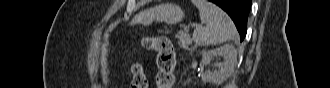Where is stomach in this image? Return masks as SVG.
Masks as SVG:
<instances>
[{"label":"stomach","instance_id":"1","mask_svg":"<svg viewBox=\"0 0 330 88\" xmlns=\"http://www.w3.org/2000/svg\"><path fill=\"white\" fill-rule=\"evenodd\" d=\"M183 17L184 13L178 5L165 3L150 9L149 16L144 22L151 23L153 21H158L173 25L182 21ZM109 32V30L105 31V39H108Z\"/></svg>","mask_w":330,"mask_h":88}]
</instances>
